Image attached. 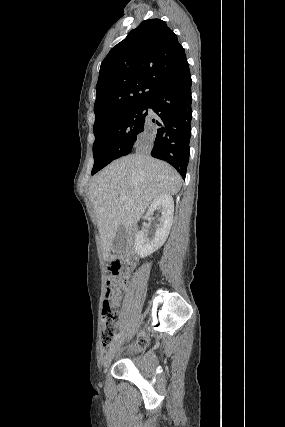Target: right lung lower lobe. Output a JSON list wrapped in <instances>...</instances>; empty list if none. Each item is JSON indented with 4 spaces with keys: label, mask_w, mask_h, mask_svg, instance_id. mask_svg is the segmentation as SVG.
I'll list each match as a JSON object with an SVG mask.
<instances>
[{
    "label": "right lung lower lobe",
    "mask_w": 285,
    "mask_h": 427,
    "mask_svg": "<svg viewBox=\"0 0 285 427\" xmlns=\"http://www.w3.org/2000/svg\"><path fill=\"white\" fill-rule=\"evenodd\" d=\"M191 75L187 73L174 85L157 93L148 101L156 114L147 116L144 132H151L154 141L150 154L171 164L185 179L191 138L192 96ZM157 127L152 129L151 124Z\"/></svg>",
    "instance_id": "1"
}]
</instances>
